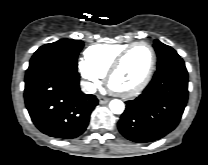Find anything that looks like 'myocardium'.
Here are the masks:
<instances>
[{"label":"myocardium","instance_id":"f54148a6","mask_svg":"<svg viewBox=\"0 0 208 165\" xmlns=\"http://www.w3.org/2000/svg\"><path fill=\"white\" fill-rule=\"evenodd\" d=\"M138 46H146L147 48H149V50L151 52V61H150V66L148 68L147 73L145 74L142 81L139 84H137L136 86L132 87V88H129V89L116 88L113 85V82H112L114 75L120 69V67L122 66L126 57L131 53V51L134 48H136ZM156 61H157L156 51H155L154 47L151 44H149L147 42L132 43L131 45H129L125 49H123L117 55V57L114 59L112 64L110 65V67H109V69L106 73V81H107L108 88L115 95L125 97V98L133 97V96L138 95L140 92H142L146 88V86L151 81V78L153 76V73H154V70H155V67H156Z\"/></svg>","mask_w":208,"mask_h":165}]
</instances>
